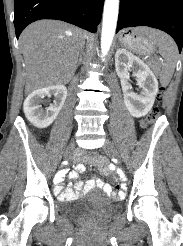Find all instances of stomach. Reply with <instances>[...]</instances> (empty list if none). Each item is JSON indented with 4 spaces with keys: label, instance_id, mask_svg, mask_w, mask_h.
<instances>
[{
    "label": "stomach",
    "instance_id": "0dacf381",
    "mask_svg": "<svg viewBox=\"0 0 183 246\" xmlns=\"http://www.w3.org/2000/svg\"><path fill=\"white\" fill-rule=\"evenodd\" d=\"M147 28H129L121 32L119 41L127 48L140 54L149 53L154 49L147 36Z\"/></svg>",
    "mask_w": 183,
    "mask_h": 246
}]
</instances>
